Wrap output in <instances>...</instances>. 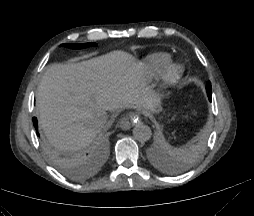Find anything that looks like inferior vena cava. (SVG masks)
Listing matches in <instances>:
<instances>
[{
	"label": "inferior vena cava",
	"mask_w": 254,
	"mask_h": 216,
	"mask_svg": "<svg viewBox=\"0 0 254 216\" xmlns=\"http://www.w3.org/2000/svg\"><path fill=\"white\" fill-rule=\"evenodd\" d=\"M109 116L107 113H98L92 118V126L95 130L100 131L102 129H105L110 121Z\"/></svg>",
	"instance_id": "inferior-vena-cava-1"
}]
</instances>
